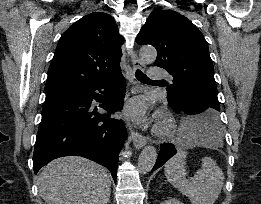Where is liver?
<instances>
[{
	"label": "liver",
	"mask_w": 261,
	"mask_h": 204,
	"mask_svg": "<svg viewBox=\"0 0 261 204\" xmlns=\"http://www.w3.org/2000/svg\"><path fill=\"white\" fill-rule=\"evenodd\" d=\"M38 184L46 204H107L111 193L108 171L76 156L48 163L39 174Z\"/></svg>",
	"instance_id": "6515ba94"
}]
</instances>
